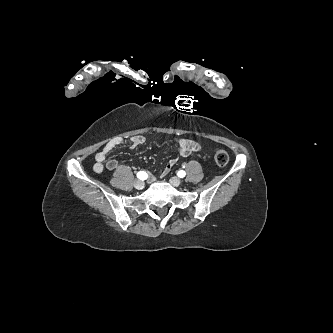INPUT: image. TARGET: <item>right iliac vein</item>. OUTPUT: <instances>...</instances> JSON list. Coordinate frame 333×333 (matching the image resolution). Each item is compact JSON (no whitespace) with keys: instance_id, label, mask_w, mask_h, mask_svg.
<instances>
[{"instance_id":"obj_1","label":"right iliac vein","mask_w":333,"mask_h":333,"mask_svg":"<svg viewBox=\"0 0 333 333\" xmlns=\"http://www.w3.org/2000/svg\"><path fill=\"white\" fill-rule=\"evenodd\" d=\"M134 187L136 188V189H143L144 188V182L143 181H141V180H139V179H136L135 181H134Z\"/></svg>"}]
</instances>
